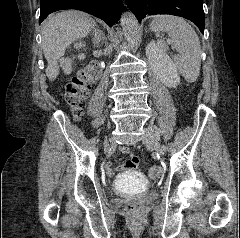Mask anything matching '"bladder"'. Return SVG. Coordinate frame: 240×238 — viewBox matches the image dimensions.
Returning a JSON list of instances; mask_svg holds the SVG:
<instances>
[{"mask_svg": "<svg viewBox=\"0 0 240 238\" xmlns=\"http://www.w3.org/2000/svg\"><path fill=\"white\" fill-rule=\"evenodd\" d=\"M145 186L144 180L136 173H130L116 184L118 192H132Z\"/></svg>", "mask_w": 240, "mask_h": 238, "instance_id": "31cf9c89", "label": "bladder"}]
</instances>
